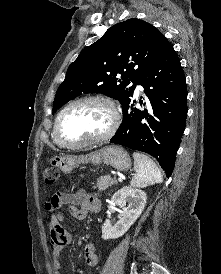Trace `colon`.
<instances>
[{
	"label": "colon",
	"instance_id": "5ec220e1",
	"mask_svg": "<svg viewBox=\"0 0 221 274\" xmlns=\"http://www.w3.org/2000/svg\"><path fill=\"white\" fill-rule=\"evenodd\" d=\"M43 181L47 186H53L58 181L60 174L56 168L48 167L43 170Z\"/></svg>",
	"mask_w": 221,
	"mask_h": 274
}]
</instances>
